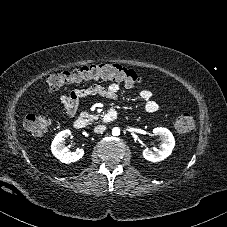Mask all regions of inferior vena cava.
Wrapping results in <instances>:
<instances>
[{
    "label": "inferior vena cava",
    "mask_w": 227,
    "mask_h": 227,
    "mask_svg": "<svg viewBox=\"0 0 227 227\" xmlns=\"http://www.w3.org/2000/svg\"><path fill=\"white\" fill-rule=\"evenodd\" d=\"M106 129L105 125H98L94 128L95 133H103Z\"/></svg>",
    "instance_id": "obj_1"
}]
</instances>
